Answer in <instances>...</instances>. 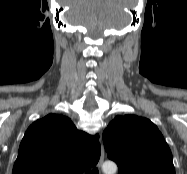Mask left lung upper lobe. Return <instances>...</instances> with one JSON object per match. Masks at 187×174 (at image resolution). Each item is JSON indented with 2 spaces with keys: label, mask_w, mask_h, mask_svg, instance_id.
<instances>
[{
  "label": "left lung upper lobe",
  "mask_w": 187,
  "mask_h": 174,
  "mask_svg": "<svg viewBox=\"0 0 187 174\" xmlns=\"http://www.w3.org/2000/svg\"><path fill=\"white\" fill-rule=\"evenodd\" d=\"M103 142L118 174H175L169 146L146 118L116 116L103 132Z\"/></svg>",
  "instance_id": "left-lung-upper-lobe-1"
}]
</instances>
